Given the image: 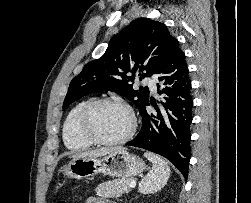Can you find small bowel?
I'll return each instance as SVG.
<instances>
[{
	"label": "small bowel",
	"mask_w": 251,
	"mask_h": 203,
	"mask_svg": "<svg viewBox=\"0 0 251 203\" xmlns=\"http://www.w3.org/2000/svg\"><path fill=\"white\" fill-rule=\"evenodd\" d=\"M85 203H114V202H110L99 196H92V197L87 198Z\"/></svg>",
	"instance_id": "c3829d8e"
}]
</instances>
